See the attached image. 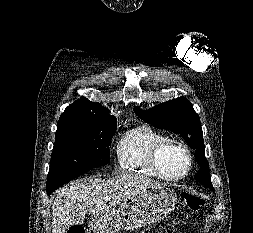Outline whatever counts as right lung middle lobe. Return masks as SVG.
I'll use <instances>...</instances> for the list:
<instances>
[{"mask_svg": "<svg viewBox=\"0 0 253 233\" xmlns=\"http://www.w3.org/2000/svg\"><path fill=\"white\" fill-rule=\"evenodd\" d=\"M116 128L114 118L61 115L48 178L70 170L106 165Z\"/></svg>", "mask_w": 253, "mask_h": 233, "instance_id": "obj_1", "label": "right lung middle lobe"}]
</instances>
